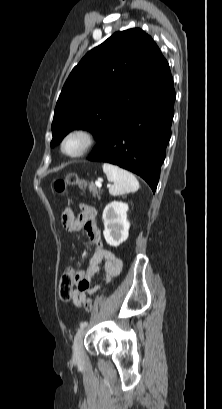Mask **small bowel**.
I'll return each mask as SVG.
<instances>
[{"mask_svg":"<svg viewBox=\"0 0 222 409\" xmlns=\"http://www.w3.org/2000/svg\"><path fill=\"white\" fill-rule=\"evenodd\" d=\"M80 208L82 212L78 217L74 216L69 207L65 208L62 212V224L67 231H85L95 244L87 273L82 268H76L71 274L73 278L72 283L76 288L72 293V301L78 308L87 302L89 295L96 293L100 289V285H90V278L99 271L101 265H103L105 271V283H109L122 269L121 259L112 251L106 249L102 243L100 231L94 224L96 217L95 208L85 203H82Z\"/></svg>","mask_w":222,"mask_h":409,"instance_id":"obj_1","label":"small bowel"}]
</instances>
